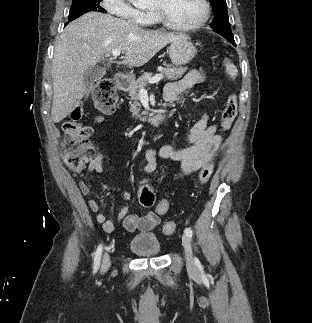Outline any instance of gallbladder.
I'll return each mask as SVG.
<instances>
[{
  "mask_svg": "<svg viewBox=\"0 0 312 323\" xmlns=\"http://www.w3.org/2000/svg\"><path fill=\"white\" fill-rule=\"evenodd\" d=\"M105 76V70L103 68H100V66H90V68H87L83 74V82L85 84V92L86 94H90L94 82H97L99 78H103Z\"/></svg>",
  "mask_w": 312,
  "mask_h": 323,
  "instance_id": "1",
  "label": "gallbladder"
}]
</instances>
